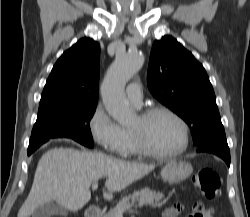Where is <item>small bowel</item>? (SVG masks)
<instances>
[{
    "instance_id": "1",
    "label": "small bowel",
    "mask_w": 250,
    "mask_h": 217,
    "mask_svg": "<svg viewBox=\"0 0 250 217\" xmlns=\"http://www.w3.org/2000/svg\"><path fill=\"white\" fill-rule=\"evenodd\" d=\"M181 206L179 204H174L166 208L163 212V217H178L181 213ZM204 217H213L211 213L208 211L205 213Z\"/></svg>"
}]
</instances>
